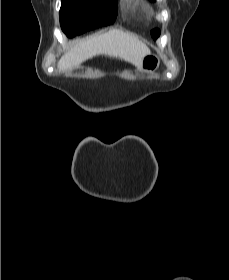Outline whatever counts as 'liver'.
Listing matches in <instances>:
<instances>
[{"mask_svg": "<svg viewBox=\"0 0 229 280\" xmlns=\"http://www.w3.org/2000/svg\"><path fill=\"white\" fill-rule=\"evenodd\" d=\"M149 54L150 49L135 34L111 29L74 45L61 57L58 69L63 72L78 68L82 62L99 55L119 58L141 69L143 58Z\"/></svg>", "mask_w": 229, "mask_h": 280, "instance_id": "liver-1", "label": "liver"}]
</instances>
